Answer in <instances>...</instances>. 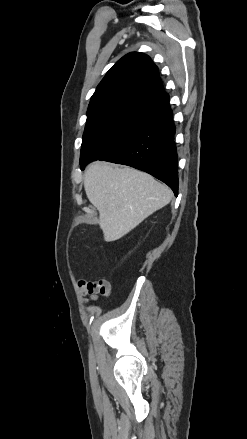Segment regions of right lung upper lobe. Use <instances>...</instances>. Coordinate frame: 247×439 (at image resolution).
Listing matches in <instances>:
<instances>
[{"instance_id": "1", "label": "right lung upper lobe", "mask_w": 247, "mask_h": 439, "mask_svg": "<svg viewBox=\"0 0 247 439\" xmlns=\"http://www.w3.org/2000/svg\"><path fill=\"white\" fill-rule=\"evenodd\" d=\"M111 102H126L152 113L169 104L158 68L149 56L131 52L116 62L97 86L88 109Z\"/></svg>"}]
</instances>
